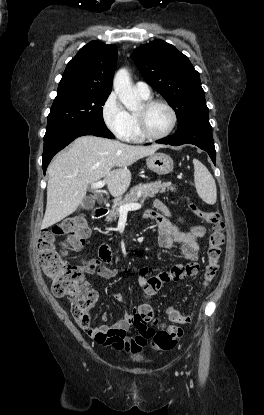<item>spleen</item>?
<instances>
[{
  "mask_svg": "<svg viewBox=\"0 0 264 415\" xmlns=\"http://www.w3.org/2000/svg\"><path fill=\"white\" fill-rule=\"evenodd\" d=\"M194 182L198 195L207 204L213 205L216 202L217 190L213 176L199 160L193 159Z\"/></svg>",
  "mask_w": 264,
  "mask_h": 415,
  "instance_id": "obj_1",
  "label": "spleen"
}]
</instances>
